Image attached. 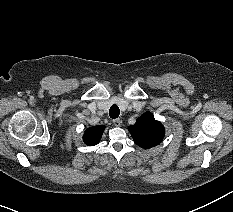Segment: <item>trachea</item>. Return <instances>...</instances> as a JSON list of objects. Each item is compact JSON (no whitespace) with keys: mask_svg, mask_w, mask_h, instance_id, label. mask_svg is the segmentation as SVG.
Returning a JSON list of instances; mask_svg holds the SVG:
<instances>
[{"mask_svg":"<svg viewBox=\"0 0 233 212\" xmlns=\"http://www.w3.org/2000/svg\"><path fill=\"white\" fill-rule=\"evenodd\" d=\"M120 110L117 105H112L109 110V115L111 118L115 119L119 116Z\"/></svg>","mask_w":233,"mask_h":212,"instance_id":"trachea-1","label":"trachea"}]
</instances>
